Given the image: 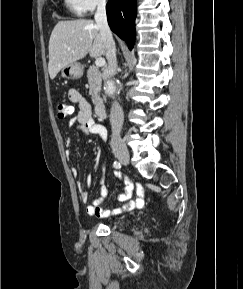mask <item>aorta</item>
Listing matches in <instances>:
<instances>
[{
	"mask_svg": "<svg viewBox=\"0 0 243 289\" xmlns=\"http://www.w3.org/2000/svg\"><path fill=\"white\" fill-rule=\"evenodd\" d=\"M115 90H116L115 83L113 81L107 82L106 87H105V92L108 95H113L115 93Z\"/></svg>",
	"mask_w": 243,
	"mask_h": 289,
	"instance_id": "aorta-1",
	"label": "aorta"
}]
</instances>
